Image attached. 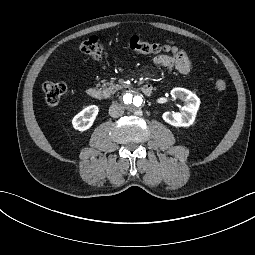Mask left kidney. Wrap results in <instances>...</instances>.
Listing matches in <instances>:
<instances>
[{
    "label": "left kidney",
    "instance_id": "left-kidney-1",
    "mask_svg": "<svg viewBox=\"0 0 255 255\" xmlns=\"http://www.w3.org/2000/svg\"><path fill=\"white\" fill-rule=\"evenodd\" d=\"M173 100L179 99L184 103L182 114L165 112L162 119L169 125L175 127H189L195 120V115L199 107V98L191 91L184 88H174L171 90Z\"/></svg>",
    "mask_w": 255,
    "mask_h": 255
}]
</instances>
